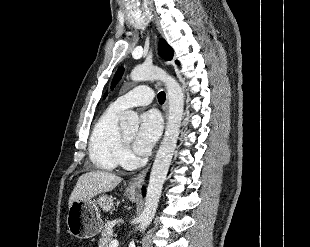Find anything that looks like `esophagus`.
I'll return each instance as SVG.
<instances>
[{
	"mask_svg": "<svg viewBox=\"0 0 310 247\" xmlns=\"http://www.w3.org/2000/svg\"><path fill=\"white\" fill-rule=\"evenodd\" d=\"M164 110H165V115H166V119H167V116H168V97H167L166 102H165ZM149 167L150 166H148L141 173H139L137 176H135L131 179V181L129 182V188L132 191L139 192V190L141 189L142 184L144 182V179L146 177V174L149 170Z\"/></svg>",
	"mask_w": 310,
	"mask_h": 247,
	"instance_id": "esophagus-1",
	"label": "esophagus"
}]
</instances>
